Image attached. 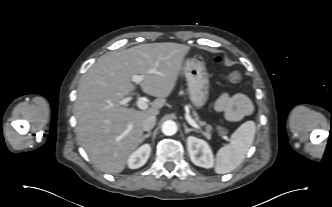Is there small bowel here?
Returning <instances> with one entry per match:
<instances>
[{
	"label": "small bowel",
	"instance_id": "obj_1",
	"mask_svg": "<svg viewBox=\"0 0 332 207\" xmlns=\"http://www.w3.org/2000/svg\"><path fill=\"white\" fill-rule=\"evenodd\" d=\"M216 110L228 121H238L252 112L251 101L243 94H222L216 102Z\"/></svg>",
	"mask_w": 332,
	"mask_h": 207
}]
</instances>
